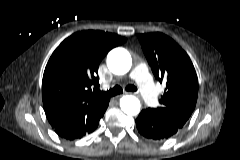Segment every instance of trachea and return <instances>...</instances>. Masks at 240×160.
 I'll use <instances>...</instances> for the list:
<instances>
[{
  "instance_id": "trachea-1",
  "label": "trachea",
  "mask_w": 240,
  "mask_h": 160,
  "mask_svg": "<svg viewBox=\"0 0 240 160\" xmlns=\"http://www.w3.org/2000/svg\"><path fill=\"white\" fill-rule=\"evenodd\" d=\"M125 90L126 91H130V92H136L137 91V87L134 86V85H128L125 88ZM122 92H123V89L120 86H115V87H113L112 89H110L107 92L98 91L99 94H102V95H105V96H109V97L116 96L118 94H121Z\"/></svg>"
}]
</instances>
